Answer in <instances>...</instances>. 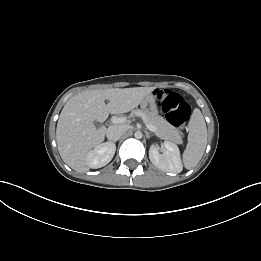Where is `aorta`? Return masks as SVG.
<instances>
[{"label":"aorta","mask_w":261,"mask_h":261,"mask_svg":"<svg viewBox=\"0 0 261 261\" xmlns=\"http://www.w3.org/2000/svg\"><path fill=\"white\" fill-rule=\"evenodd\" d=\"M135 138L137 139H141L142 138V133L140 131H136L135 134H134Z\"/></svg>","instance_id":"aorta-1"}]
</instances>
